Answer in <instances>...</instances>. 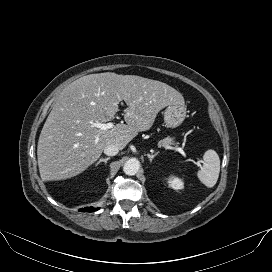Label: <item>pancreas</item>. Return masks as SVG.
<instances>
[{"label":"pancreas","mask_w":272,"mask_h":272,"mask_svg":"<svg viewBox=\"0 0 272 272\" xmlns=\"http://www.w3.org/2000/svg\"><path fill=\"white\" fill-rule=\"evenodd\" d=\"M159 143L162 144V145H169V144H174V141H173V138L166 137V138L160 140Z\"/></svg>","instance_id":"obj_1"}]
</instances>
